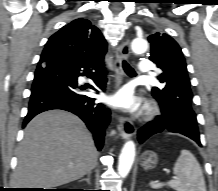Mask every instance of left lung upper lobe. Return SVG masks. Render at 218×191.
Here are the masks:
<instances>
[{
  "label": "left lung upper lobe",
  "mask_w": 218,
  "mask_h": 191,
  "mask_svg": "<svg viewBox=\"0 0 218 191\" xmlns=\"http://www.w3.org/2000/svg\"><path fill=\"white\" fill-rule=\"evenodd\" d=\"M148 41L151 43L149 59L162 70L157 77L162 85L153 87L152 95L171 116L176 115V110L181 104L192 109L193 95L181 48L165 33H153L148 37ZM190 125L198 129L196 116L190 120Z\"/></svg>",
  "instance_id": "1"
}]
</instances>
